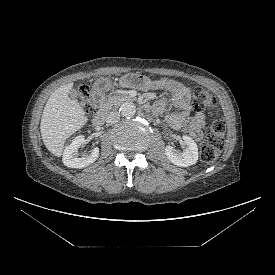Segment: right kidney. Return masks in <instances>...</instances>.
I'll list each match as a JSON object with an SVG mask.
<instances>
[{
    "label": "right kidney",
    "mask_w": 275,
    "mask_h": 275,
    "mask_svg": "<svg viewBox=\"0 0 275 275\" xmlns=\"http://www.w3.org/2000/svg\"><path fill=\"white\" fill-rule=\"evenodd\" d=\"M84 136L80 135L72 140V143L66 146L63 152V163L70 168H84L95 162L99 155V149L93 148L90 154L78 158V149L84 144Z\"/></svg>",
    "instance_id": "right-kidney-1"
}]
</instances>
